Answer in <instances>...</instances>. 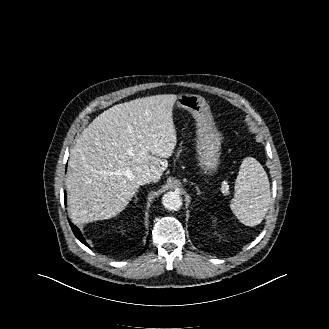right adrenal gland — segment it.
Returning a JSON list of instances; mask_svg holds the SVG:
<instances>
[{
    "instance_id": "right-adrenal-gland-1",
    "label": "right adrenal gland",
    "mask_w": 329,
    "mask_h": 329,
    "mask_svg": "<svg viewBox=\"0 0 329 329\" xmlns=\"http://www.w3.org/2000/svg\"><path fill=\"white\" fill-rule=\"evenodd\" d=\"M136 192L138 193L139 190H136ZM135 199H134V203H137V201L139 200V198L137 197V194L134 195Z\"/></svg>"
}]
</instances>
